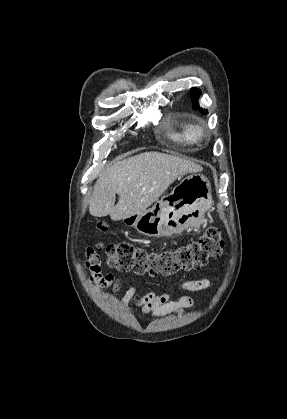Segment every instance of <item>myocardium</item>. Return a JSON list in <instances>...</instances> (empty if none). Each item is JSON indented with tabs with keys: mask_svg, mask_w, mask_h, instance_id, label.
I'll return each mask as SVG.
<instances>
[{
	"mask_svg": "<svg viewBox=\"0 0 287 419\" xmlns=\"http://www.w3.org/2000/svg\"><path fill=\"white\" fill-rule=\"evenodd\" d=\"M191 135L195 141H199L204 139L207 136V132L205 128L201 125L195 124L191 125L190 128Z\"/></svg>",
	"mask_w": 287,
	"mask_h": 419,
	"instance_id": "1",
	"label": "myocardium"
}]
</instances>
